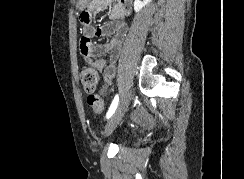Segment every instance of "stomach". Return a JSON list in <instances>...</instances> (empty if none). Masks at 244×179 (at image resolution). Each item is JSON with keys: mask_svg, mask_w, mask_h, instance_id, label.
<instances>
[{"mask_svg": "<svg viewBox=\"0 0 244 179\" xmlns=\"http://www.w3.org/2000/svg\"><path fill=\"white\" fill-rule=\"evenodd\" d=\"M85 3H87V0H79L78 8H85Z\"/></svg>", "mask_w": 244, "mask_h": 179, "instance_id": "0dacf381", "label": "stomach"}]
</instances>
